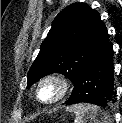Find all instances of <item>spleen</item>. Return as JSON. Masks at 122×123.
Segmentation results:
<instances>
[{
	"label": "spleen",
	"mask_w": 122,
	"mask_h": 123,
	"mask_svg": "<svg viewBox=\"0 0 122 123\" xmlns=\"http://www.w3.org/2000/svg\"><path fill=\"white\" fill-rule=\"evenodd\" d=\"M70 112L75 113L74 123H100L99 116H103L102 123H107L105 113L101 112L95 105L90 104H76L68 108Z\"/></svg>",
	"instance_id": "spleen-1"
}]
</instances>
